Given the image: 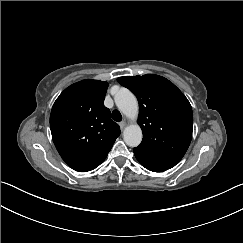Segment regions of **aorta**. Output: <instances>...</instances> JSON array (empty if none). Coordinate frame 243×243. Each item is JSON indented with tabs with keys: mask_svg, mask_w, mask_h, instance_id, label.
I'll list each match as a JSON object with an SVG mask.
<instances>
[{
	"mask_svg": "<svg viewBox=\"0 0 243 243\" xmlns=\"http://www.w3.org/2000/svg\"><path fill=\"white\" fill-rule=\"evenodd\" d=\"M115 102L119 110L129 121L123 131L125 143L131 147L138 146L143 134L140 125L137 123L139 105L136 97L128 89L122 88L116 94Z\"/></svg>",
	"mask_w": 243,
	"mask_h": 243,
	"instance_id": "762f6f07",
	"label": "aorta"
}]
</instances>
